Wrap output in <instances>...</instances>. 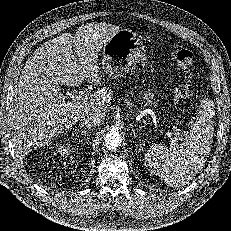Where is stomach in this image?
<instances>
[{
  "label": "stomach",
  "mask_w": 231,
  "mask_h": 231,
  "mask_svg": "<svg viewBox=\"0 0 231 231\" xmlns=\"http://www.w3.org/2000/svg\"><path fill=\"white\" fill-rule=\"evenodd\" d=\"M102 65L112 79L125 77L131 66L147 63L146 50L136 33L129 29L117 31L102 47Z\"/></svg>",
  "instance_id": "stomach-1"
}]
</instances>
